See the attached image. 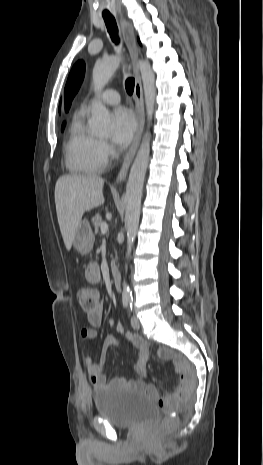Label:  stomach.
<instances>
[{"label":"stomach","mask_w":263,"mask_h":465,"mask_svg":"<svg viewBox=\"0 0 263 465\" xmlns=\"http://www.w3.org/2000/svg\"><path fill=\"white\" fill-rule=\"evenodd\" d=\"M94 234L87 220H81L73 239V247L80 254L86 255L91 252L94 244Z\"/></svg>","instance_id":"1"}]
</instances>
